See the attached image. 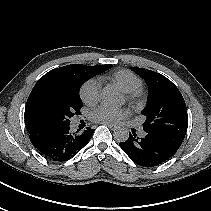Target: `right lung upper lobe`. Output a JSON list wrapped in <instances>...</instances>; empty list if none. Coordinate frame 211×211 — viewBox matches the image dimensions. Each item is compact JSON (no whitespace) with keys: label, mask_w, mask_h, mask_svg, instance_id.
<instances>
[{"label":"right lung upper lobe","mask_w":211,"mask_h":211,"mask_svg":"<svg viewBox=\"0 0 211 211\" xmlns=\"http://www.w3.org/2000/svg\"><path fill=\"white\" fill-rule=\"evenodd\" d=\"M105 66L107 65L86 66L81 64H72L53 69L37 81L30 95L44 88H57L68 85L78 76L82 75L86 70L91 68H103Z\"/></svg>","instance_id":"right-lung-upper-lobe-1"}]
</instances>
